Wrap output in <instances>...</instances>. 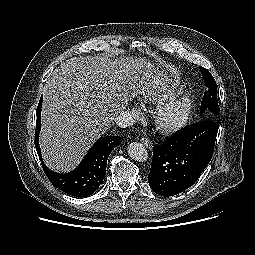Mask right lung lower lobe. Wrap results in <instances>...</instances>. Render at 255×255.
Returning <instances> with one entry per match:
<instances>
[{
	"label": "right lung lower lobe",
	"mask_w": 255,
	"mask_h": 255,
	"mask_svg": "<svg viewBox=\"0 0 255 255\" xmlns=\"http://www.w3.org/2000/svg\"><path fill=\"white\" fill-rule=\"evenodd\" d=\"M42 97L37 107V121L35 132V147L42 161L39 146V132L41 129ZM121 137H101L90 148L80 165L70 173L59 174L50 170L42 161V167L50 182L56 188L75 197H87L93 194L102 184L106 175L107 159L111 151L121 144Z\"/></svg>",
	"instance_id": "98d812e1"
}]
</instances>
